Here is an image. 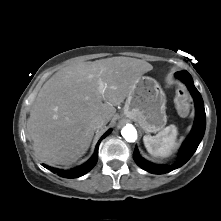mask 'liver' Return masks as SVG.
I'll list each match as a JSON object with an SVG mask.
<instances>
[{
  "instance_id": "liver-1",
  "label": "liver",
  "mask_w": 221,
  "mask_h": 221,
  "mask_svg": "<svg viewBox=\"0 0 221 221\" xmlns=\"http://www.w3.org/2000/svg\"><path fill=\"white\" fill-rule=\"evenodd\" d=\"M148 62L112 57L81 62L55 73L40 89L27 120L36 156L49 165H71L88 150L101 117L107 124L115 106L129 95L139 78L151 71ZM100 81L106 85L100 93Z\"/></svg>"
}]
</instances>
